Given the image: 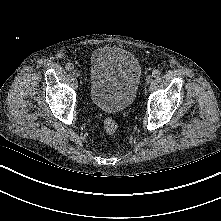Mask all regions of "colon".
<instances>
[{
  "label": "colon",
  "mask_w": 221,
  "mask_h": 221,
  "mask_svg": "<svg viewBox=\"0 0 221 221\" xmlns=\"http://www.w3.org/2000/svg\"><path fill=\"white\" fill-rule=\"evenodd\" d=\"M103 127L104 131L108 135H114L118 129L116 120L111 116H108L104 119Z\"/></svg>",
  "instance_id": "colon-1"
}]
</instances>
